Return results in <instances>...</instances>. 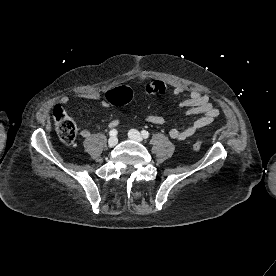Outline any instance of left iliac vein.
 Masks as SVG:
<instances>
[{
	"mask_svg": "<svg viewBox=\"0 0 276 276\" xmlns=\"http://www.w3.org/2000/svg\"><path fill=\"white\" fill-rule=\"evenodd\" d=\"M128 136L131 140L137 141V142H142L143 138L141 136V134L139 133V131L135 130V129H131L128 132Z\"/></svg>",
	"mask_w": 276,
	"mask_h": 276,
	"instance_id": "4c4485c4",
	"label": "left iliac vein"
}]
</instances>
